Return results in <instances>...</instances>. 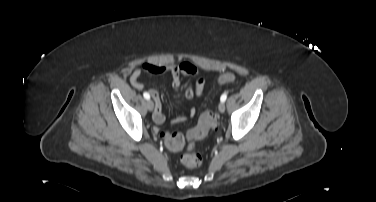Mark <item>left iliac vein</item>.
I'll return each mask as SVG.
<instances>
[{
    "label": "left iliac vein",
    "mask_w": 376,
    "mask_h": 202,
    "mask_svg": "<svg viewBox=\"0 0 376 202\" xmlns=\"http://www.w3.org/2000/svg\"><path fill=\"white\" fill-rule=\"evenodd\" d=\"M218 109L221 113H223L225 111V104L224 102H220L219 106H218Z\"/></svg>",
    "instance_id": "4c4485c4"
}]
</instances>
